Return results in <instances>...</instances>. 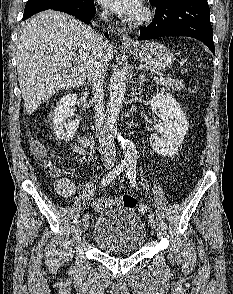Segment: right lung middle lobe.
Returning a JSON list of instances; mask_svg holds the SVG:
<instances>
[{"label": "right lung middle lobe", "instance_id": "dd1d6c3e", "mask_svg": "<svg viewBox=\"0 0 233 294\" xmlns=\"http://www.w3.org/2000/svg\"><path fill=\"white\" fill-rule=\"evenodd\" d=\"M78 0H28L25 6L23 20L52 7L68 5Z\"/></svg>", "mask_w": 233, "mask_h": 294}]
</instances>
